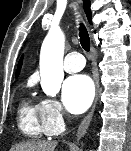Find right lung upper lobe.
Listing matches in <instances>:
<instances>
[{
  "label": "right lung upper lobe",
  "instance_id": "right-lung-upper-lobe-1",
  "mask_svg": "<svg viewBox=\"0 0 131 151\" xmlns=\"http://www.w3.org/2000/svg\"><path fill=\"white\" fill-rule=\"evenodd\" d=\"M83 7H84L85 13L87 15V18H88L89 22L91 23L90 1L89 0H84ZM22 59H23V56L21 57V59L19 61L16 77L18 76L19 70L22 66Z\"/></svg>",
  "mask_w": 131,
  "mask_h": 151
}]
</instances>
